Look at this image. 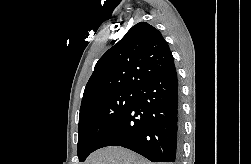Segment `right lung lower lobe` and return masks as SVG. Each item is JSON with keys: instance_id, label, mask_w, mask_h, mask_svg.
Here are the masks:
<instances>
[{"instance_id": "right-lung-lower-lobe-1", "label": "right lung lower lobe", "mask_w": 251, "mask_h": 164, "mask_svg": "<svg viewBox=\"0 0 251 164\" xmlns=\"http://www.w3.org/2000/svg\"><path fill=\"white\" fill-rule=\"evenodd\" d=\"M130 109L95 147L121 146L152 162H177L182 120L174 64L143 82Z\"/></svg>"}]
</instances>
